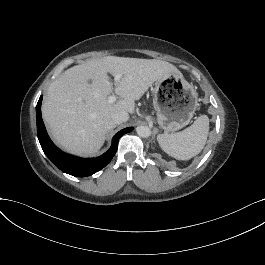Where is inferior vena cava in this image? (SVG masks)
<instances>
[{
  "instance_id": "1",
  "label": "inferior vena cava",
  "mask_w": 265,
  "mask_h": 265,
  "mask_svg": "<svg viewBox=\"0 0 265 265\" xmlns=\"http://www.w3.org/2000/svg\"><path fill=\"white\" fill-rule=\"evenodd\" d=\"M129 119V113L126 111H116L112 114V120L115 125H119Z\"/></svg>"
}]
</instances>
